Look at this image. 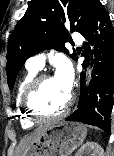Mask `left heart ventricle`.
<instances>
[{
  "mask_svg": "<svg viewBox=\"0 0 114 156\" xmlns=\"http://www.w3.org/2000/svg\"><path fill=\"white\" fill-rule=\"evenodd\" d=\"M54 77L44 81L34 98L35 107L43 114L52 115L60 112L68 100Z\"/></svg>",
  "mask_w": 114,
  "mask_h": 156,
  "instance_id": "b2bd125f",
  "label": "left heart ventricle"
}]
</instances>
